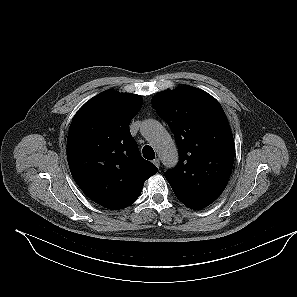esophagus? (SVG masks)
Returning <instances> with one entry per match:
<instances>
[{
	"label": "esophagus",
	"mask_w": 297,
	"mask_h": 297,
	"mask_svg": "<svg viewBox=\"0 0 297 297\" xmlns=\"http://www.w3.org/2000/svg\"><path fill=\"white\" fill-rule=\"evenodd\" d=\"M152 162H153V164H154L157 168H159V166H160V160H159L158 158L154 159Z\"/></svg>",
	"instance_id": "1"
}]
</instances>
